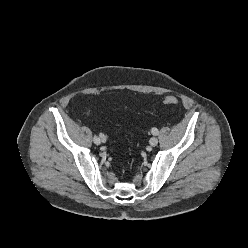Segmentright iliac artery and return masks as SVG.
I'll list each match as a JSON object with an SVG mask.
<instances>
[{
  "label": "right iliac artery",
  "mask_w": 248,
  "mask_h": 248,
  "mask_svg": "<svg viewBox=\"0 0 248 248\" xmlns=\"http://www.w3.org/2000/svg\"><path fill=\"white\" fill-rule=\"evenodd\" d=\"M92 140H93V144L94 145H99L100 144V140H98V138H97L96 135H93L92 136Z\"/></svg>",
  "instance_id": "obj_1"
}]
</instances>
